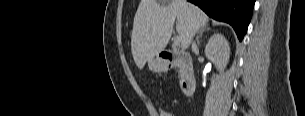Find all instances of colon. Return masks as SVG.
<instances>
[{
	"label": "colon",
	"mask_w": 305,
	"mask_h": 116,
	"mask_svg": "<svg viewBox=\"0 0 305 116\" xmlns=\"http://www.w3.org/2000/svg\"><path fill=\"white\" fill-rule=\"evenodd\" d=\"M153 108L156 114L155 116H173V114L170 111L162 108L157 103L153 104Z\"/></svg>",
	"instance_id": "1"
}]
</instances>
